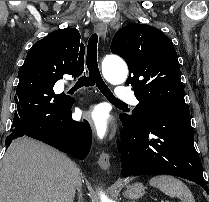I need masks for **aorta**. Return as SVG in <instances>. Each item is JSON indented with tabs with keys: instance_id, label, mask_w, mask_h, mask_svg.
I'll use <instances>...</instances> for the list:
<instances>
[{
	"instance_id": "1",
	"label": "aorta",
	"mask_w": 209,
	"mask_h": 202,
	"mask_svg": "<svg viewBox=\"0 0 209 202\" xmlns=\"http://www.w3.org/2000/svg\"><path fill=\"white\" fill-rule=\"evenodd\" d=\"M103 74L105 78L113 84L125 82L128 76V68L121 59L108 56L103 61ZM101 202H113L104 193L100 192Z\"/></svg>"
}]
</instances>
